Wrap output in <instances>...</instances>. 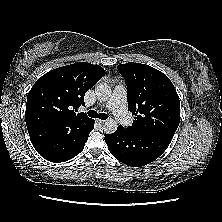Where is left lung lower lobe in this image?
<instances>
[{
  "label": "left lung lower lobe",
  "instance_id": "1",
  "mask_svg": "<svg viewBox=\"0 0 222 222\" xmlns=\"http://www.w3.org/2000/svg\"><path fill=\"white\" fill-rule=\"evenodd\" d=\"M171 140L170 136L134 133L121 126H118L115 133L105 135L110 153L131 167H141L157 159Z\"/></svg>",
  "mask_w": 222,
  "mask_h": 222
}]
</instances>
